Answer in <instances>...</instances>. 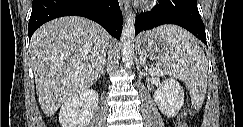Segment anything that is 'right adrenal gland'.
I'll use <instances>...</instances> for the list:
<instances>
[{"instance_id": "1", "label": "right adrenal gland", "mask_w": 243, "mask_h": 127, "mask_svg": "<svg viewBox=\"0 0 243 127\" xmlns=\"http://www.w3.org/2000/svg\"><path fill=\"white\" fill-rule=\"evenodd\" d=\"M104 76L105 75V69H104V66L102 67L100 73L98 74L97 78L99 79L101 76Z\"/></svg>"}]
</instances>
